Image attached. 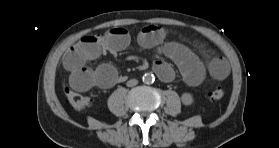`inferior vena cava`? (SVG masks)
<instances>
[{
    "instance_id": "1",
    "label": "inferior vena cava",
    "mask_w": 279,
    "mask_h": 148,
    "mask_svg": "<svg viewBox=\"0 0 279 148\" xmlns=\"http://www.w3.org/2000/svg\"><path fill=\"white\" fill-rule=\"evenodd\" d=\"M138 84V80H136V79H131V80H129L128 82H127V86L128 87H133V86H135V85H137Z\"/></svg>"
}]
</instances>
